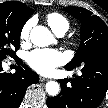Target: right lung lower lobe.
<instances>
[{
    "label": "right lung lower lobe",
    "mask_w": 108,
    "mask_h": 108,
    "mask_svg": "<svg viewBox=\"0 0 108 108\" xmlns=\"http://www.w3.org/2000/svg\"><path fill=\"white\" fill-rule=\"evenodd\" d=\"M0 60V108H18L29 85L39 82L38 75L26 65L18 66L14 74L2 70Z\"/></svg>",
    "instance_id": "1"
}]
</instances>
